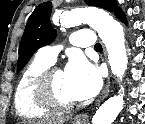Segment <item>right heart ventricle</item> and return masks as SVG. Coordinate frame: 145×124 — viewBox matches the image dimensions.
Masks as SVG:
<instances>
[{"label":"right heart ventricle","instance_id":"1","mask_svg":"<svg viewBox=\"0 0 145 124\" xmlns=\"http://www.w3.org/2000/svg\"><path fill=\"white\" fill-rule=\"evenodd\" d=\"M50 66V62L37 55L21 74L14 94V104L22 118H42L50 115L51 111L40 106L34 95L39 75Z\"/></svg>","mask_w":145,"mask_h":124}]
</instances>
